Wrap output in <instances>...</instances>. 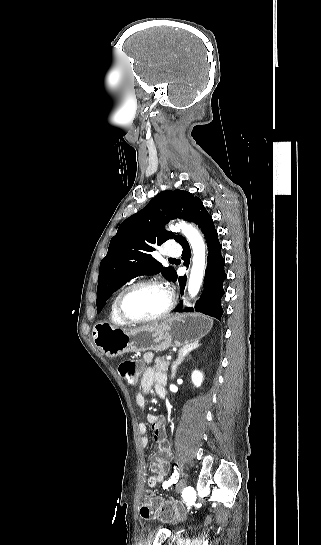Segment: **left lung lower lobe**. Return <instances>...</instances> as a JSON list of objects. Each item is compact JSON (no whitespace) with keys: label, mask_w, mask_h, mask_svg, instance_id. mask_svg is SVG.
<instances>
[{"label":"left lung lower lobe","mask_w":321,"mask_h":545,"mask_svg":"<svg viewBox=\"0 0 321 545\" xmlns=\"http://www.w3.org/2000/svg\"><path fill=\"white\" fill-rule=\"evenodd\" d=\"M190 222L196 223L201 228L208 246V263L205 272L204 291L195 305V310L221 320L223 314L221 306V298L224 295L223 282L227 278L224 271L225 259L221 255L222 245L219 242L213 219L204 205L197 207ZM180 245L183 248L182 259L184 265L188 267L191 255L190 246L185 238L181 240ZM177 279L181 289L184 290L186 276L177 278L176 274L172 280L176 281ZM183 310L188 312L194 311L193 308L183 309L182 302L174 311L183 312Z\"/></svg>","instance_id":"0a47b994"}]
</instances>
